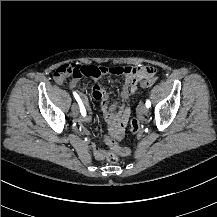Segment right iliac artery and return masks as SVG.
I'll return each instance as SVG.
<instances>
[{
  "instance_id": "1",
  "label": "right iliac artery",
  "mask_w": 217,
  "mask_h": 217,
  "mask_svg": "<svg viewBox=\"0 0 217 217\" xmlns=\"http://www.w3.org/2000/svg\"><path fill=\"white\" fill-rule=\"evenodd\" d=\"M73 95H74L75 99L77 100V102L79 104L80 112H81L82 116H85L86 115V110H85V107H84L80 97L78 96V94L76 92H73Z\"/></svg>"
}]
</instances>
